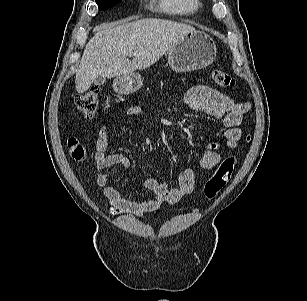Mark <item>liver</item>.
Returning a JSON list of instances; mask_svg holds the SVG:
<instances>
[{"instance_id":"liver-1","label":"liver","mask_w":307,"mask_h":301,"mask_svg":"<svg viewBox=\"0 0 307 301\" xmlns=\"http://www.w3.org/2000/svg\"><path fill=\"white\" fill-rule=\"evenodd\" d=\"M193 30L184 23L146 18L96 33L87 43L76 72L77 92H86L99 76H125L150 67ZM131 52L136 53L132 61L128 59Z\"/></svg>"}]
</instances>
